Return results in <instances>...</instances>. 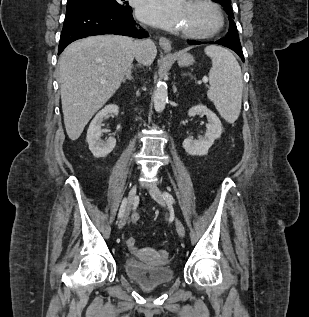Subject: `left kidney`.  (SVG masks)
I'll list each match as a JSON object with an SVG mask.
<instances>
[{
	"label": "left kidney",
	"mask_w": 309,
	"mask_h": 317,
	"mask_svg": "<svg viewBox=\"0 0 309 317\" xmlns=\"http://www.w3.org/2000/svg\"><path fill=\"white\" fill-rule=\"evenodd\" d=\"M206 115L208 123L206 124V133L198 140H193L191 137L183 141V148L192 156H203L208 153L209 148L214 141L220 138L222 134V124L215 113L209 110L204 105H196L189 109L188 115Z\"/></svg>",
	"instance_id": "5707ae66"
}]
</instances>
